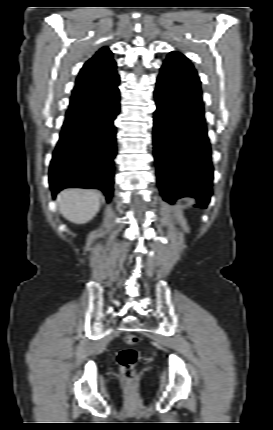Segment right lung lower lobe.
<instances>
[{
  "mask_svg": "<svg viewBox=\"0 0 273 430\" xmlns=\"http://www.w3.org/2000/svg\"><path fill=\"white\" fill-rule=\"evenodd\" d=\"M119 76L90 89L87 101L69 108L53 153V196L69 187L96 188L111 201L116 157L114 120L120 111Z\"/></svg>",
  "mask_w": 273,
  "mask_h": 430,
  "instance_id": "1",
  "label": "right lung lower lobe"
}]
</instances>
